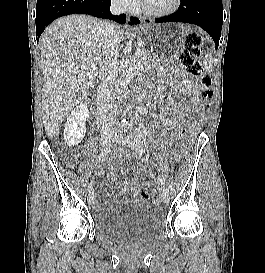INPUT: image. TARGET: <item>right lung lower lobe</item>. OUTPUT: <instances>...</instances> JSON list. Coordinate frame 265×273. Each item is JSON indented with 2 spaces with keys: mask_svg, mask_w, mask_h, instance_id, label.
Returning <instances> with one entry per match:
<instances>
[{
  "mask_svg": "<svg viewBox=\"0 0 265 273\" xmlns=\"http://www.w3.org/2000/svg\"><path fill=\"white\" fill-rule=\"evenodd\" d=\"M111 0H37L36 39L45 27L58 17L70 14H89L99 18L126 22V15L114 16L110 12Z\"/></svg>",
  "mask_w": 265,
  "mask_h": 273,
  "instance_id": "1",
  "label": "right lung lower lobe"
}]
</instances>
